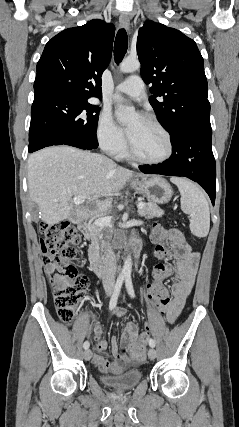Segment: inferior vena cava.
<instances>
[{"mask_svg": "<svg viewBox=\"0 0 239 427\" xmlns=\"http://www.w3.org/2000/svg\"><path fill=\"white\" fill-rule=\"evenodd\" d=\"M116 256L109 242L106 244L102 283L106 291H112L115 285Z\"/></svg>", "mask_w": 239, "mask_h": 427, "instance_id": "602c4592", "label": "inferior vena cava"}]
</instances>
